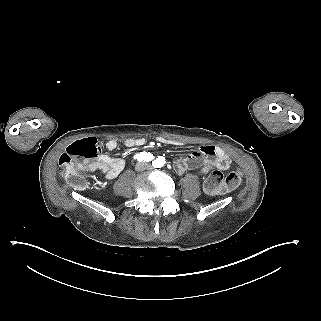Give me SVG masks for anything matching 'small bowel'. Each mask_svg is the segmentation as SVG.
Listing matches in <instances>:
<instances>
[{
	"mask_svg": "<svg viewBox=\"0 0 321 321\" xmlns=\"http://www.w3.org/2000/svg\"><path fill=\"white\" fill-rule=\"evenodd\" d=\"M157 141L161 144L171 146H183L182 142L159 137ZM145 145L143 138H130L124 141V146L129 149L142 147ZM105 147L113 151L117 149L118 142L116 140H108ZM231 164V159L225 152L214 146H202L197 151L187 157L178 159L175 162V169L179 173L188 170L197 169L200 175L208 174L212 169L226 170ZM125 160L122 158H113L109 155L102 154L96 160L88 161L83 165L86 171H100L109 180L116 178L124 169Z\"/></svg>",
	"mask_w": 321,
	"mask_h": 321,
	"instance_id": "c3829d8e",
	"label": "small bowel"
}]
</instances>
